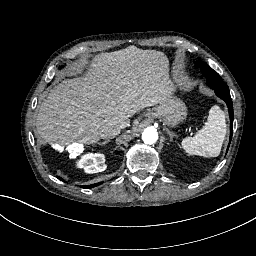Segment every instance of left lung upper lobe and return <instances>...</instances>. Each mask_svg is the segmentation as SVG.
I'll return each mask as SVG.
<instances>
[{"instance_id": "1", "label": "left lung upper lobe", "mask_w": 256, "mask_h": 256, "mask_svg": "<svg viewBox=\"0 0 256 256\" xmlns=\"http://www.w3.org/2000/svg\"><path fill=\"white\" fill-rule=\"evenodd\" d=\"M196 65L201 68L202 73L207 77V84L212 89L215 90V93L223 99L227 106L230 116V141L228 144V148L231 142L232 134H233V105L230 97V92L228 86L223 82L222 78L219 74L214 71L211 67H209L205 62L196 61ZM227 148V151H228Z\"/></svg>"}]
</instances>
